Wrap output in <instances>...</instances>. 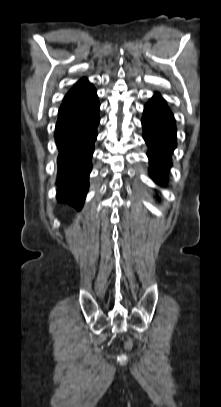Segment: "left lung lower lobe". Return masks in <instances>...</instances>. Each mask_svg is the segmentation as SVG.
Here are the masks:
<instances>
[{
    "label": "left lung lower lobe",
    "mask_w": 221,
    "mask_h": 407,
    "mask_svg": "<svg viewBox=\"0 0 221 407\" xmlns=\"http://www.w3.org/2000/svg\"><path fill=\"white\" fill-rule=\"evenodd\" d=\"M142 127L149 147L150 174L155 181L164 184L172 166L170 157L176 148V126L172 112L159 94L145 105Z\"/></svg>",
    "instance_id": "obj_1"
}]
</instances>
